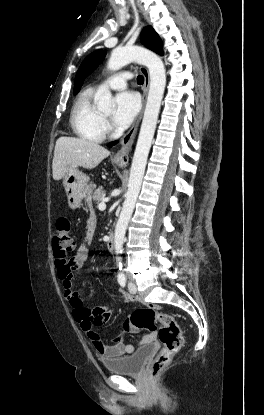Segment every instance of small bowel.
I'll use <instances>...</instances> for the list:
<instances>
[{"label": "small bowel", "instance_id": "c3829d8e", "mask_svg": "<svg viewBox=\"0 0 264 415\" xmlns=\"http://www.w3.org/2000/svg\"><path fill=\"white\" fill-rule=\"evenodd\" d=\"M92 218H95L97 222L94 214H92L87 220L86 229L89 241L77 248L76 254L73 258L68 259L66 256L60 257L58 252H55V262L58 268V276L63 284V296L71 309L73 318L76 322H78L80 329L93 342L96 350L101 356L104 358H116L134 352L136 345L125 344L122 341V335L117 336L113 343L103 342L93 330L94 318L101 315L105 321H108L113 315L115 309L114 305H105L101 309L92 311L88 310L83 305L80 291L74 288L72 281V272L80 269L90 255V242L96 227V225L92 227L89 223ZM104 271H108V268L105 267ZM121 294L125 303H132L135 301L134 296L126 294L123 291H121ZM124 328L131 333H138L140 331V328L128 323L127 319L124 322ZM152 339L153 334L147 335L143 337L137 345L149 343Z\"/></svg>", "mask_w": 264, "mask_h": 415}]
</instances>
